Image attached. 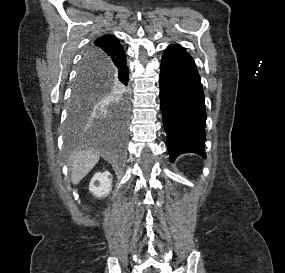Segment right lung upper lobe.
<instances>
[{"instance_id": "1", "label": "right lung upper lobe", "mask_w": 285, "mask_h": 273, "mask_svg": "<svg viewBox=\"0 0 285 273\" xmlns=\"http://www.w3.org/2000/svg\"><path fill=\"white\" fill-rule=\"evenodd\" d=\"M88 50L96 54V57L102 56L105 58L118 56L124 52L122 45L113 35L99 37Z\"/></svg>"}]
</instances>
